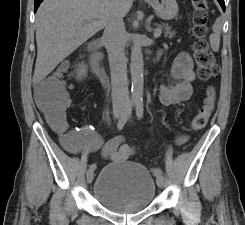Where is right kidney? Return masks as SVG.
<instances>
[{"label":"right kidney","mask_w":245,"mask_h":225,"mask_svg":"<svg viewBox=\"0 0 245 225\" xmlns=\"http://www.w3.org/2000/svg\"><path fill=\"white\" fill-rule=\"evenodd\" d=\"M76 76L79 80L87 76V66L83 62L78 66Z\"/></svg>","instance_id":"obj_1"}]
</instances>
